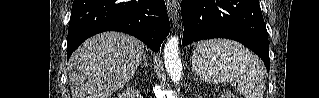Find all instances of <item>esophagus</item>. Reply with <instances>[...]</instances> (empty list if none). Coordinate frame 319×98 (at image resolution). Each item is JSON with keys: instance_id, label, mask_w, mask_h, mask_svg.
<instances>
[{"instance_id": "esophagus-1", "label": "esophagus", "mask_w": 319, "mask_h": 98, "mask_svg": "<svg viewBox=\"0 0 319 98\" xmlns=\"http://www.w3.org/2000/svg\"><path fill=\"white\" fill-rule=\"evenodd\" d=\"M166 8L168 15L172 21L177 20L179 15V8L178 3L175 0H167L166 1Z\"/></svg>"}]
</instances>
